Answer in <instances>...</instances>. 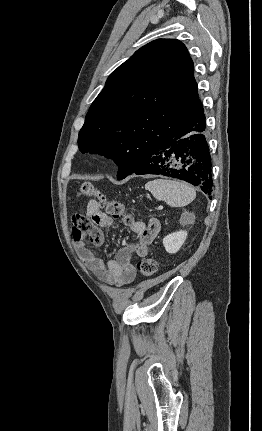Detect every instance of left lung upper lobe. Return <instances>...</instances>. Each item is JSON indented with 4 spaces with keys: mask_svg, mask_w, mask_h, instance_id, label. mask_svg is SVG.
<instances>
[{
    "mask_svg": "<svg viewBox=\"0 0 262 431\" xmlns=\"http://www.w3.org/2000/svg\"><path fill=\"white\" fill-rule=\"evenodd\" d=\"M203 111L185 45L157 39L108 77L79 132V149L113 159L121 180L143 155Z\"/></svg>",
    "mask_w": 262,
    "mask_h": 431,
    "instance_id": "1",
    "label": "left lung upper lobe"
}]
</instances>
